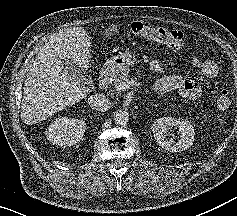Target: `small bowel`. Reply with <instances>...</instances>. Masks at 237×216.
<instances>
[{
    "label": "small bowel",
    "mask_w": 237,
    "mask_h": 216,
    "mask_svg": "<svg viewBox=\"0 0 237 216\" xmlns=\"http://www.w3.org/2000/svg\"><path fill=\"white\" fill-rule=\"evenodd\" d=\"M191 62L203 76L212 78L218 73L217 65L211 60H203L195 54L191 55ZM150 69L162 75L155 83V89L159 92L179 91L184 97L195 99L200 96L202 88L199 82L186 78L180 74L167 75L164 66L159 60L150 63Z\"/></svg>",
    "instance_id": "c3829d8e"
}]
</instances>
